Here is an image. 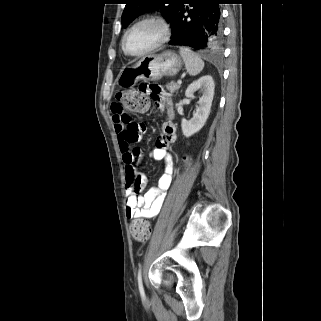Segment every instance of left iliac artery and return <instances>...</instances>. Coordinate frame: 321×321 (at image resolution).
I'll use <instances>...</instances> for the list:
<instances>
[{
	"mask_svg": "<svg viewBox=\"0 0 321 321\" xmlns=\"http://www.w3.org/2000/svg\"><path fill=\"white\" fill-rule=\"evenodd\" d=\"M137 279H138L139 291H140L141 295H144V288H143L142 275H141V265H140V267H139Z\"/></svg>",
	"mask_w": 321,
	"mask_h": 321,
	"instance_id": "left-iliac-artery-1",
	"label": "left iliac artery"
}]
</instances>
